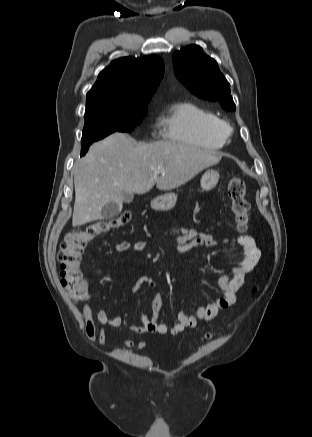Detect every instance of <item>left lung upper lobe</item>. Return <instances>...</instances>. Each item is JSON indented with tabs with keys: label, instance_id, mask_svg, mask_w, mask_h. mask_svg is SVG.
<instances>
[{
	"label": "left lung upper lobe",
	"instance_id": "1",
	"mask_svg": "<svg viewBox=\"0 0 312 437\" xmlns=\"http://www.w3.org/2000/svg\"><path fill=\"white\" fill-rule=\"evenodd\" d=\"M176 77L195 95L217 101L227 111L236 106L230 95V84L220 72L217 62L196 45L186 46L173 54Z\"/></svg>",
	"mask_w": 312,
	"mask_h": 437
}]
</instances>
